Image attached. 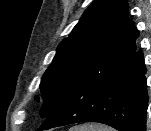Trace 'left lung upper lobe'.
Wrapping results in <instances>:
<instances>
[{
	"label": "left lung upper lobe",
	"mask_w": 151,
	"mask_h": 131,
	"mask_svg": "<svg viewBox=\"0 0 151 131\" xmlns=\"http://www.w3.org/2000/svg\"><path fill=\"white\" fill-rule=\"evenodd\" d=\"M137 32L128 18L126 0H95L60 43L41 79L40 116L49 117L88 71L111 69L131 60L136 52Z\"/></svg>",
	"instance_id": "1"
}]
</instances>
